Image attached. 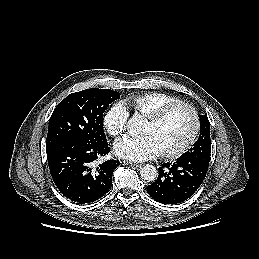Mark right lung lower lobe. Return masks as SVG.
I'll return each mask as SVG.
<instances>
[{
	"instance_id": "1",
	"label": "right lung lower lobe",
	"mask_w": 259,
	"mask_h": 259,
	"mask_svg": "<svg viewBox=\"0 0 259 259\" xmlns=\"http://www.w3.org/2000/svg\"><path fill=\"white\" fill-rule=\"evenodd\" d=\"M107 143L93 145L84 142H64L47 149L52 179L60 192L77 203L98 200L108 192L112 172L118 160L105 161L94 167V161L109 153Z\"/></svg>"
}]
</instances>
